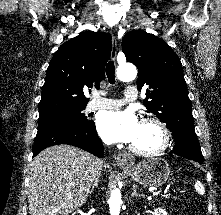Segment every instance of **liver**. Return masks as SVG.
<instances>
[{
    "instance_id": "liver-1",
    "label": "liver",
    "mask_w": 221,
    "mask_h": 215,
    "mask_svg": "<svg viewBox=\"0 0 221 215\" xmlns=\"http://www.w3.org/2000/svg\"><path fill=\"white\" fill-rule=\"evenodd\" d=\"M102 167L100 159L70 145L44 149L30 164L29 215H69L80 208Z\"/></svg>"
}]
</instances>
